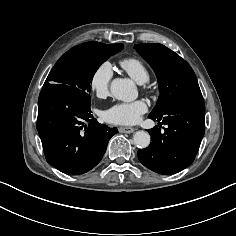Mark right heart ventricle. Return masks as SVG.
I'll list each match as a JSON object with an SVG mask.
<instances>
[{
  "instance_id": "obj_1",
  "label": "right heart ventricle",
  "mask_w": 236,
  "mask_h": 236,
  "mask_svg": "<svg viewBox=\"0 0 236 236\" xmlns=\"http://www.w3.org/2000/svg\"><path fill=\"white\" fill-rule=\"evenodd\" d=\"M120 65L135 81L139 83L148 81L149 71L141 60L127 57L120 61Z\"/></svg>"
}]
</instances>
